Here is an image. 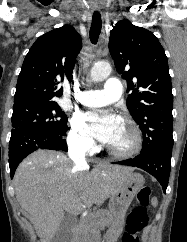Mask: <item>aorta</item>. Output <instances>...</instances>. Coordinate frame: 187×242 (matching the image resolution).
I'll return each instance as SVG.
<instances>
[{"instance_id":"aorta-1","label":"aorta","mask_w":187,"mask_h":242,"mask_svg":"<svg viewBox=\"0 0 187 242\" xmlns=\"http://www.w3.org/2000/svg\"><path fill=\"white\" fill-rule=\"evenodd\" d=\"M111 70V65L107 62L95 63L90 71L91 79L93 81H102L110 75Z\"/></svg>"}]
</instances>
